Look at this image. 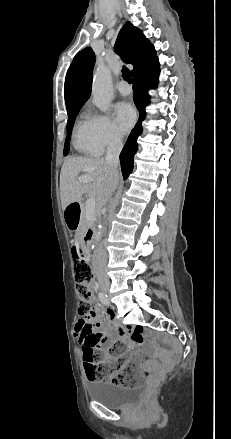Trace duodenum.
Here are the masks:
<instances>
[{
  "mask_svg": "<svg viewBox=\"0 0 231 439\" xmlns=\"http://www.w3.org/2000/svg\"><path fill=\"white\" fill-rule=\"evenodd\" d=\"M74 206L79 207L80 206V202H76V203L70 205V208H72ZM93 235H94V231L93 230H88L86 232V234H85V243L86 244H89L91 242Z\"/></svg>",
  "mask_w": 231,
  "mask_h": 439,
  "instance_id": "obj_1",
  "label": "duodenum"
}]
</instances>
